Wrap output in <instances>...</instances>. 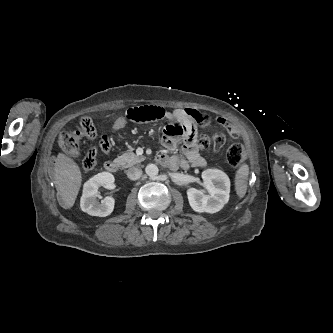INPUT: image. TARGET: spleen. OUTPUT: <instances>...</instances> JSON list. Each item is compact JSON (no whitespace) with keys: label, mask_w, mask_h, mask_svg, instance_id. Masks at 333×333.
Listing matches in <instances>:
<instances>
[{"label":"spleen","mask_w":333,"mask_h":333,"mask_svg":"<svg viewBox=\"0 0 333 333\" xmlns=\"http://www.w3.org/2000/svg\"><path fill=\"white\" fill-rule=\"evenodd\" d=\"M249 167L247 164L241 165L235 176V190L237 195L242 198L246 194L248 184Z\"/></svg>","instance_id":"spleen-1"}]
</instances>
